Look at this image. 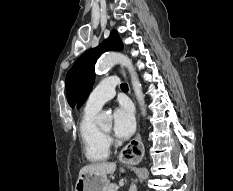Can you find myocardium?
<instances>
[{
    "mask_svg": "<svg viewBox=\"0 0 233 191\" xmlns=\"http://www.w3.org/2000/svg\"><path fill=\"white\" fill-rule=\"evenodd\" d=\"M102 131V130H101ZM102 133L104 134V135H106L107 134V132H105V131H102Z\"/></svg>",
    "mask_w": 233,
    "mask_h": 191,
    "instance_id": "1",
    "label": "myocardium"
}]
</instances>
